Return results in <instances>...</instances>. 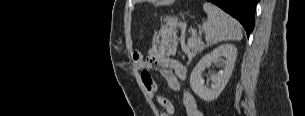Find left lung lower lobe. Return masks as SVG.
<instances>
[{
  "instance_id": "obj_1",
  "label": "left lung lower lobe",
  "mask_w": 305,
  "mask_h": 116,
  "mask_svg": "<svg viewBox=\"0 0 305 116\" xmlns=\"http://www.w3.org/2000/svg\"><path fill=\"white\" fill-rule=\"evenodd\" d=\"M239 20L249 36L254 28L255 7L259 0H208Z\"/></svg>"
}]
</instances>
